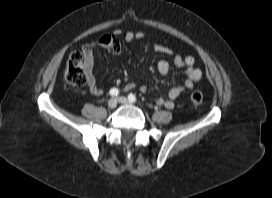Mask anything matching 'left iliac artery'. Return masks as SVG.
Here are the masks:
<instances>
[{
  "mask_svg": "<svg viewBox=\"0 0 272 198\" xmlns=\"http://www.w3.org/2000/svg\"><path fill=\"white\" fill-rule=\"evenodd\" d=\"M128 99H129V101L132 102V103H133V102H136V97H135V95H133L132 93L128 95Z\"/></svg>",
  "mask_w": 272,
  "mask_h": 198,
  "instance_id": "left-iliac-artery-1",
  "label": "left iliac artery"
}]
</instances>
